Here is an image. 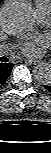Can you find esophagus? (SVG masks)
<instances>
[{
  "instance_id": "obj_1",
  "label": "esophagus",
  "mask_w": 51,
  "mask_h": 153,
  "mask_svg": "<svg viewBox=\"0 0 51 153\" xmlns=\"http://www.w3.org/2000/svg\"><path fill=\"white\" fill-rule=\"evenodd\" d=\"M24 62L28 65H36L38 64V61L31 60V59H25Z\"/></svg>"
}]
</instances>
